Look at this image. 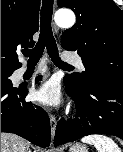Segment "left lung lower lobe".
<instances>
[{
    "instance_id": "obj_1",
    "label": "left lung lower lobe",
    "mask_w": 123,
    "mask_h": 152,
    "mask_svg": "<svg viewBox=\"0 0 123 152\" xmlns=\"http://www.w3.org/2000/svg\"><path fill=\"white\" fill-rule=\"evenodd\" d=\"M64 83L76 103L78 119L59 121L54 138L56 146L91 134L123 139V80H96L83 90L66 77Z\"/></svg>"
}]
</instances>
